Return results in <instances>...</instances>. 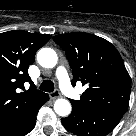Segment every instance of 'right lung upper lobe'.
<instances>
[{
    "label": "right lung upper lobe",
    "instance_id": "1",
    "mask_svg": "<svg viewBox=\"0 0 136 136\" xmlns=\"http://www.w3.org/2000/svg\"><path fill=\"white\" fill-rule=\"evenodd\" d=\"M51 35L23 30L0 34V136L24 127L47 94L35 88L28 67ZM31 86L27 91L24 84Z\"/></svg>",
    "mask_w": 136,
    "mask_h": 136
}]
</instances>
